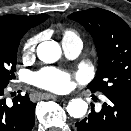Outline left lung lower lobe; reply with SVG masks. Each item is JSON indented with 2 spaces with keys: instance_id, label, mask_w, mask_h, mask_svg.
Segmentation results:
<instances>
[{
  "instance_id": "1",
  "label": "left lung lower lobe",
  "mask_w": 131,
  "mask_h": 131,
  "mask_svg": "<svg viewBox=\"0 0 131 131\" xmlns=\"http://www.w3.org/2000/svg\"><path fill=\"white\" fill-rule=\"evenodd\" d=\"M109 101L100 112L94 111L76 123L77 131H131V98L105 95Z\"/></svg>"
}]
</instances>
